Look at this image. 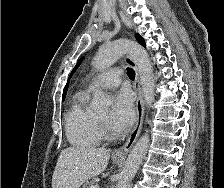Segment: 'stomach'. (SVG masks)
Instances as JSON below:
<instances>
[{
  "instance_id": "1",
  "label": "stomach",
  "mask_w": 224,
  "mask_h": 188,
  "mask_svg": "<svg viewBox=\"0 0 224 188\" xmlns=\"http://www.w3.org/2000/svg\"><path fill=\"white\" fill-rule=\"evenodd\" d=\"M113 161H114L115 163H119V162L122 161V159H121V158H113Z\"/></svg>"
}]
</instances>
